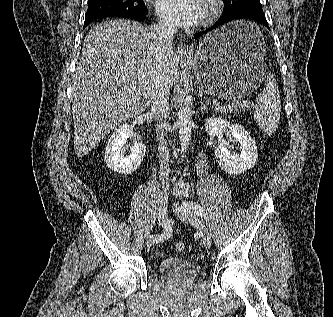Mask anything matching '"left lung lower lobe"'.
Here are the masks:
<instances>
[{"mask_svg":"<svg viewBox=\"0 0 333 317\" xmlns=\"http://www.w3.org/2000/svg\"><path fill=\"white\" fill-rule=\"evenodd\" d=\"M253 20L258 23L263 24L269 29L268 22L265 18V14L263 13V10L261 7H252V8H246L241 9L229 13H223V15L219 18V20L212 25L210 28H208L205 31L197 33L194 37L195 39H198L200 36L206 34L209 31H212L215 28H218L220 26H223L229 22L235 21V20Z\"/></svg>","mask_w":333,"mask_h":317,"instance_id":"1","label":"left lung lower lobe"}]
</instances>
